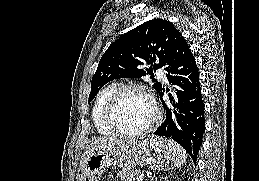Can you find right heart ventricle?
Wrapping results in <instances>:
<instances>
[{
  "label": "right heart ventricle",
  "instance_id": "e07e8e85",
  "mask_svg": "<svg viewBox=\"0 0 259 181\" xmlns=\"http://www.w3.org/2000/svg\"><path fill=\"white\" fill-rule=\"evenodd\" d=\"M118 88V85L111 83L103 87L96 96L93 104L91 117L96 131L103 136H112L114 132L107 126L105 122V109L107 103Z\"/></svg>",
  "mask_w": 259,
  "mask_h": 181
}]
</instances>
